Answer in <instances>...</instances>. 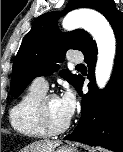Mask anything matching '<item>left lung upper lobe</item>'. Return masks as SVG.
Masks as SVG:
<instances>
[{
  "label": "left lung upper lobe",
  "instance_id": "1",
  "mask_svg": "<svg viewBox=\"0 0 123 152\" xmlns=\"http://www.w3.org/2000/svg\"><path fill=\"white\" fill-rule=\"evenodd\" d=\"M92 8L105 17L116 10L113 0H69L64 13L77 8ZM58 12H49L39 16L31 30L25 36L13 64L11 95L17 98L26 86L37 76L51 75L59 69L68 49L84 52L94 42L89 33L77 29L61 33L57 27ZM61 76L75 88L80 75L61 71Z\"/></svg>",
  "mask_w": 123,
  "mask_h": 152
}]
</instances>
